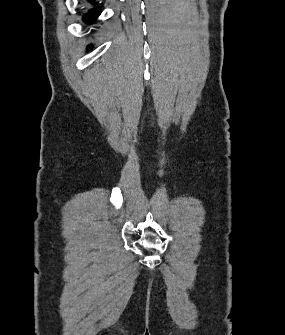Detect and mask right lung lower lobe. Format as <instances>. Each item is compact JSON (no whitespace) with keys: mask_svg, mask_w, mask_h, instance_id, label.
Returning <instances> with one entry per match:
<instances>
[{"mask_svg":"<svg viewBox=\"0 0 285 335\" xmlns=\"http://www.w3.org/2000/svg\"><path fill=\"white\" fill-rule=\"evenodd\" d=\"M87 1L90 2L93 5V8H91L86 14H84L83 20H84L85 23H90V22H92L94 19H96L100 15L101 9H99L94 4L95 0H87ZM90 48L91 47H89V49Z\"/></svg>","mask_w":285,"mask_h":335,"instance_id":"obj_1","label":"right lung lower lobe"}]
</instances>
